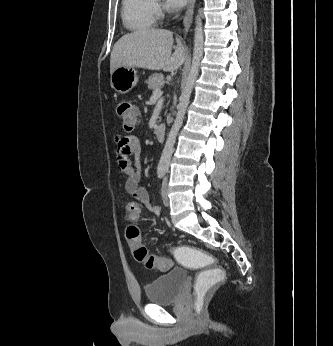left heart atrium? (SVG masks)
Wrapping results in <instances>:
<instances>
[{"mask_svg":"<svg viewBox=\"0 0 333 346\" xmlns=\"http://www.w3.org/2000/svg\"><path fill=\"white\" fill-rule=\"evenodd\" d=\"M188 0H165L166 6L170 9L182 8Z\"/></svg>","mask_w":333,"mask_h":346,"instance_id":"left-heart-atrium-1","label":"left heart atrium"}]
</instances>
